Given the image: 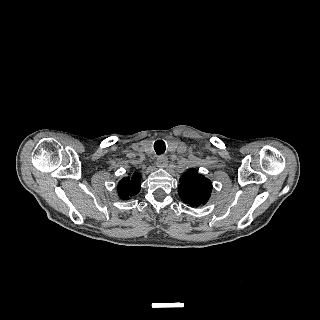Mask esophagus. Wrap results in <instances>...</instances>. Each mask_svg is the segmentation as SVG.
Segmentation results:
<instances>
[{"mask_svg": "<svg viewBox=\"0 0 320 320\" xmlns=\"http://www.w3.org/2000/svg\"><path fill=\"white\" fill-rule=\"evenodd\" d=\"M168 165V159L166 156H160L158 159H157V166L159 168H166Z\"/></svg>", "mask_w": 320, "mask_h": 320, "instance_id": "esophagus-1", "label": "esophagus"}]
</instances>
